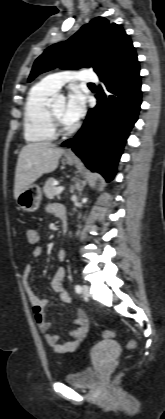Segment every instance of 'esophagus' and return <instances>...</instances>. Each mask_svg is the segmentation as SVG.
Here are the masks:
<instances>
[{"label":"esophagus","mask_w":165,"mask_h":419,"mask_svg":"<svg viewBox=\"0 0 165 419\" xmlns=\"http://www.w3.org/2000/svg\"><path fill=\"white\" fill-rule=\"evenodd\" d=\"M67 155L73 157L74 156V153L72 151H68L67 152Z\"/></svg>","instance_id":"obj_1"}]
</instances>
